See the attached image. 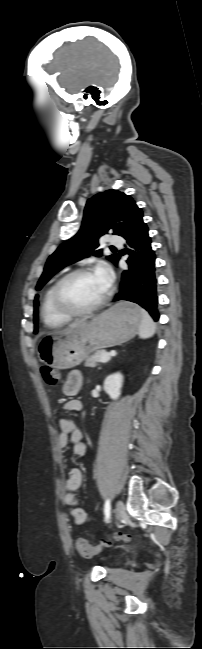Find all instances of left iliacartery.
I'll list each match as a JSON object with an SVG mask.
<instances>
[{"instance_id":"obj_1","label":"left iliac artery","mask_w":202,"mask_h":649,"mask_svg":"<svg viewBox=\"0 0 202 649\" xmlns=\"http://www.w3.org/2000/svg\"><path fill=\"white\" fill-rule=\"evenodd\" d=\"M110 509H111L110 500L107 499L106 502H105V505H104V514H105V521L106 522H109V519H110Z\"/></svg>"}]
</instances>
